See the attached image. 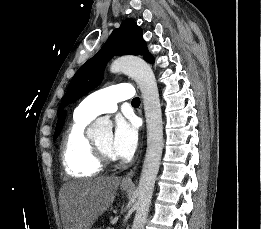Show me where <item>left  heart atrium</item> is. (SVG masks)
I'll return each instance as SVG.
<instances>
[{
    "mask_svg": "<svg viewBox=\"0 0 261 229\" xmlns=\"http://www.w3.org/2000/svg\"><path fill=\"white\" fill-rule=\"evenodd\" d=\"M138 143V127L133 120L117 122L112 137L110 151L112 156L121 159L130 158Z\"/></svg>",
    "mask_w": 261,
    "mask_h": 229,
    "instance_id": "obj_1",
    "label": "left heart atrium"
}]
</instances>
